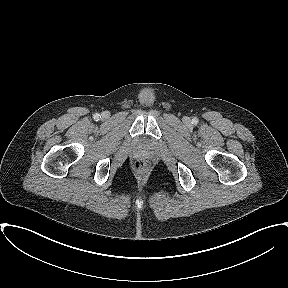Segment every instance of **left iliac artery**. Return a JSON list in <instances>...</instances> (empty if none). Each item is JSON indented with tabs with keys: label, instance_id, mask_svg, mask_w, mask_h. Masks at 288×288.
Segmentation results:
<instances>
[{
	"label": "left iliac artery",
	"instance_id": "left-iliac-artery-1",
	"mask_svg": "<svg viewBox=\"0 0 288 288\" xmlns=\"http://www.w3.org/2000/svg\"><path fill=\"white\" fill-rule=\"evenodd\" d=\"M197 122H198V119H197V118H193V119H192V123H193V124H197Z\"/></svg>",
	"mask_w": 288,
	"mask_h": 288
}]
</instances>
